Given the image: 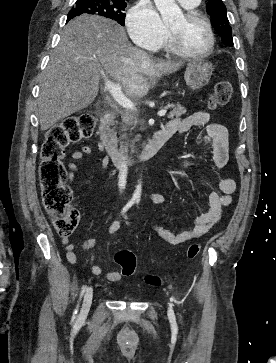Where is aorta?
I'll use <instances>...</instances> for the list:
<instances>
[{
	"instance_id": "aorta-1",
	"label": "aorta",
	"mask_w": 276,
	"mask_h": 363,
	"mask_svg": "<svg viewBox=\"0 0 276 363\" xmlns=\"http://www.w3.org/2000/svg\"><path fill=\"white\" fill-rule=\"evenodd\" d=\"M157 9L161 14V18L165 24H171L176 20L183 18V13L175 0H154ZM142 186L139 183L133 194L134 200H139L141 197Z\"/></svg>"
}]
</instances>
